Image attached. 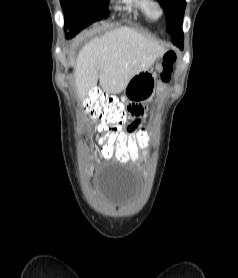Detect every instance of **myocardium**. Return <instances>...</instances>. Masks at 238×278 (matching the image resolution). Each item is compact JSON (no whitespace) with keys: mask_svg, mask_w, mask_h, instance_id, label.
Here are the masks:
<instances>
[{"mask_svg":"<svg viewBox=\"0 0 238 278\" xmlns=\"http://www.w3.org/2000/svg\"><path fill=\"white\" fill-rule=\"evenodd\" d=\"M149 12L153 19H160L164 15V8L157 0H149Z\"/></svg>","mask_w":238,"mask_h":278,"instance_id":"1","label":"myocardium"}]
</instances>
